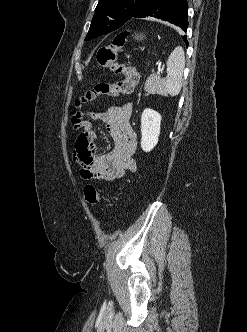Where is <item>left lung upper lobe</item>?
Masks as SVG:
<instances>
[{
    "label": "left lung upper lobe",
    "mask_w": 247,
    "mask_h": 332,
    "mask_svg": "<svg viewBox=\"0 0 247 332\" xmlns=\"http://www.w3.org/2000/svg\"><path fill=\"white\" fill-rule=\"evenodd\" d=\"M145 1L99 0L85 40H91L121 28Z\"/></svg>",
    "instance_id": "obj_1"
}]
</instances>
